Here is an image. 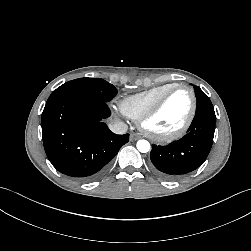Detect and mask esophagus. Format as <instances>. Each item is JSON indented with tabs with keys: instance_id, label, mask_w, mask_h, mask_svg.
Masks as SVG:
<instances>
[{
	"instance_id": "34e87169",
	"label": "esophagus",
	"mask_w": 251,
	"mask_h": 251,
	"mask_svg": "<svg viewBox=\"0 0 251 251\" xmlns=\"http://www.w3.org/2000/svg\"><path fill=\"white\" fill-rule=\"evenodd\" d=\"M140 138H141V136L136 133H131V135H130V140H132V141L138 140Z\"/></svg>"
}]
</instances>
